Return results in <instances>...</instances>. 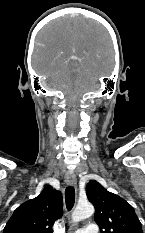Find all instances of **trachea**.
I'll list each match as a JSON object with an SVG mask.
<instances>
[{"mask_svg":"<svg viewBox=\"0 0 145 233\" xmlns=\"http://www.w3.org/2000/svg\"><path fill=\"white\" fill-rule=\"evenodd\" d=\"M65 202H66V207L70 211L75 202V189L74 187H67L65 190Z\"/></svg>","mask_w":145,"mask_h":233,"instance_id":"1","label":"trachea"}]
</instances>
